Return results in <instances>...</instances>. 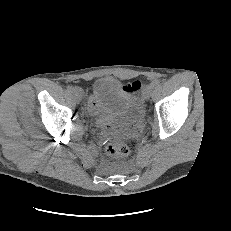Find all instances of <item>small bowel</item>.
Segmentation results:
<instances>
[{"label": "small bowel", "instance_id": "small-bowel-1", "mask_svg": "<svg viewBox=\"0 0 231 231\" xmlns=\"http://www.w3.org/2000/svg\"><path fill=\"white\" fill-rule=\"evenodd\" d=\"M89 108L93 115L97 117L96 123L102 129L104 136L111 135L116 131L113 119L107 116H103L97 104L93 100L89 101Z\"/></svg>", "mask_w": 231, "mask_h": 231}]
</instances>
